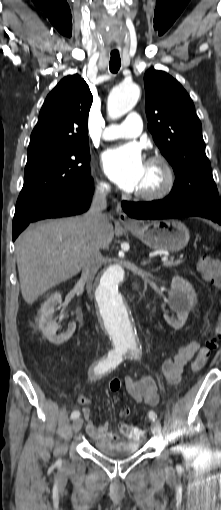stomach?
<instances>
[{
	"label": "stomach",
	"instance_id": "0dacf381",
	"mask_svg": "<svg viewBox=\"0 0 221 510\" xmlns=\"http://www.w3.org/2000/svg\"><path fill=\"white\" fill-rule=\"evenodd\" d=\"M125 227L145 245L156 250L178 252L188 244L190 238L185 224L173 219L152 221L137 227Z\"/></svg>",
	"mask_w": 221,
	"mask_h": 510
}]
</instances>
